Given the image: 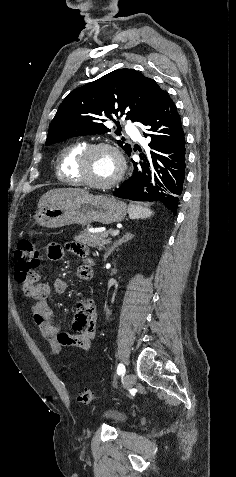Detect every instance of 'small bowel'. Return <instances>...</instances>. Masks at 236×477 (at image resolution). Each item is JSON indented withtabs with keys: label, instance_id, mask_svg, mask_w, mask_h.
I'll return each instance as SVG.
<instances>
[{
	"label": "small bowel",
	"instance_id": "obj_1",
	"mask_svg": "<svg viewBox=\"0 0 236 477\" xmlns=\"http://www.w3.org/2000/svg\"><path fill=\"white\" fill-rule=\"evenodd\" d=\"M68 253L77 255L83 261L77 270L78 278L83 281L91 280L93 267L86 246L70 243L64 248L59 243H50L47 248L48 258L52 261H59ZM52 288L56 295L61 296L67 289V283L62 278H55L52 281ZM23 290L25 294L33 299L30 308L31 315L42 337L50 345L51 356L58 355L65 347H76L84 350L91 348L96 334V310L95 304L90 298L78 302L71 331H63L47 303L51 287L46 283L37 282L33 291Z\"/></svg>",
	"mask_w": 236,
	"mask_h": 477
}]
</instances>
